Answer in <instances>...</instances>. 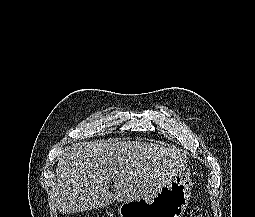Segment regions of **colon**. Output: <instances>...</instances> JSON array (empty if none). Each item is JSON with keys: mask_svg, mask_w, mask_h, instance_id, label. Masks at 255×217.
Returning a JSON list of instances; mask_svg holds the SVG:
<instances>
[{"mask_svg": "<svg viewBox=\"0 0 255 217\" xmlns=\"http://www.w3.org/2000/svg\"><path fill=\"white\" fill-rule=\"evenodd\" d=\"M190 217H202L201 210L199 208H193L190 212Z\"/></svg>", "mask_w": 255, "mask_h": 217, "instance_id": "obj_1", "label": "colon"}]
</instances>
